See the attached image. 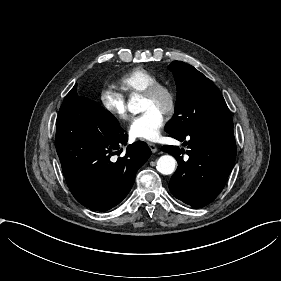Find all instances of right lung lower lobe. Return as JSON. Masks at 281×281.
Segmentation results:
<instances>
[{"label": "right lung lower lobe", "mask_w": 281, "mask_h": 281, "mask_svg": "<svg viewBox=\"0 0 281 281\" xmlns=\"http://www.w3.org/2000/svg\"><path fill=\"white\" fill-rule=\"evenodd\" d=\"M56 127L57 154L75 199L95 211L119 204L151 155L146 143L129 145L123 157L113 160L128 136L109 111L77 94V84L64 98Z\"/></svg>", "instance_id": "98d812e1"}]
</instances>
